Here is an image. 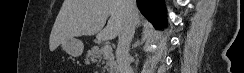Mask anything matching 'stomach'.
<instances>
[{"label": "stomach", "mask_w": 244, "mask_h": 73, "mask_svg": "<svg viewBox=\"0 0 244 73\" xmlns=\"http://www.w3.org/2000/svg\"><path fill=\"white\" fill-rule=\"evenodd\" d=\"M60 45L71 56L78 57L83 53L84 45L79 39L70 38L62 41Z\"/></svg>", "instance_id": "obj_1"}]
</instances>
